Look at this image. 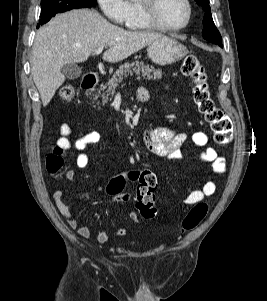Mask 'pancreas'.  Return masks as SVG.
I'll use <instances>...</instances> for the list:
<instances>
[{
    "instance_id": "cf45deb5",
    "label": "pancreas",
    "mask_w": 267,
    "mask_h": 301,
    "mask_svg": "<svg viewBox=\"0 0 267 301\" xmlns=\"http://www.w3.org/2000/svg\"><path fill=\"white\" fill-rule=\"evenodd\" d=\"M133 73L138 76V79H140V74H142L143 78H147L149 80L160 79L162 76L161 69H155L153 66L146 65L143 62H127L116 70L112 78L107 83L101 85L99 89V96L102 98V102L106 103L109 96L114 95L116 88L123 78L127 77L129 74L132 75Z\"/></svg>"
}]
</instances>
